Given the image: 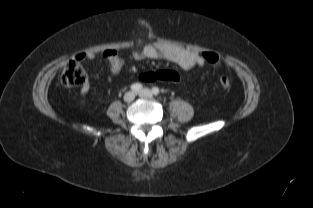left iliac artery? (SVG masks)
<instances>
[{
    "label": "left iliac artery",
    "mask_w": 313,
    "mask_h": 208,
    "mask_svg": "<svg viewBox=\"0 0 313 208\" xmlns=\"http://www.w3.org/2000/svg\"><path fill=\"white\" fill-rule=\"evenodd\" d=\"M159 92H160V90H159L158 87H153V88H152V93H153L154 95H158Z\"/></svg>",
    "instance_id": "1"
}]
</instances>
